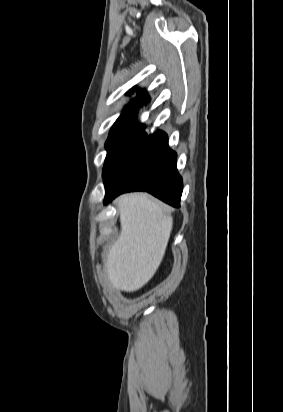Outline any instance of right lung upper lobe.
I'll return each mask as SVG.
<instances>
[{"mask_svg": "<svg viewBox=\"0 0 283 412\" xmlns=\"http://www.w3.org/2000/svg\"><path fill=\"white\" fill-rule=\"evenodd\" d=\"M145 95V92H143V93H140L138 96H137V99H136V101L135 102H140V100H141V98L143 97ZM122 115H137V109L135 108V103H132V104H130L129 106H127L126 108H125V110L123 111V113L121 114V116Z\"/></svg>", "mask_w": 283, "mask_h": 412, "instance_id": "right-lung-upper-lobe-1", "label": "right lung upper lobe"}]
</instances>
